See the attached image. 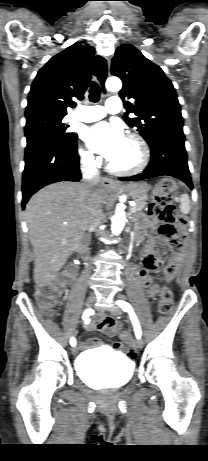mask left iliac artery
Returning <instances> with one entry per match:
<instances>
[{
  "label": "left iliac artery",
  "instance_id": "44dca946",
  "mask_svg": "<svg viewBox=\"0 0 208 461\" xmlns=\"http://www.w3.org/2000/svg\"><path fill=\"white\" fill-rule=\"evenodd\" d=\"M117 304L123 309V311L129 313V315L131 317V320H132V323H133V326H134V331H135L136 337L139 339L141 337V328H140L139 321H138L132 307L130 306L129 303H127V302H125L123 300L117 301Z\"/></svg>",
  "mask_w": 208,
  "mask_h": 461
}]
</instances>
